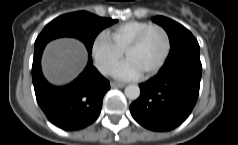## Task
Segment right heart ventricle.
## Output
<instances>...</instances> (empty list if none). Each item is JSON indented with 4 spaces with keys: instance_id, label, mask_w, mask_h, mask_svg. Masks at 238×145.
<instances>
[{
    "instance_id": "1",
    "label": "right heart ventricle",
    "mask_w": 238,
    "mask_h": 145,
    "mask_svg": "<svg viewBox=\"0 0 238 145\" xmlns=\"http://www.w3.org/2000/svg\"><path fill=\"white\" fill-rule=\"evenodd\" d=\"M149 25L150 23L145 21H128L109 29L105 38L123 53L129 43Z\"/></svg>"
}]
</instances>
